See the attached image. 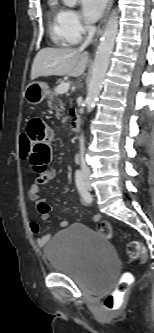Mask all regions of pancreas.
<instances>
[{"mask_svg":"<svg viewBox=\"0 0 154 333\" xmlns=\"http://www.w3.org/2000/svg\"><path fill=\"white\" fill-rule=\"evenodd\" d=\"M56 95H57V93H56L55 89L48 91V107L51 108V109L55 108L56 111H57V116H59V112L62 111V110H60L59 108H57L55 106V104H54V102H55V96ZM58 102H59L60 108H63L62 101L59 99Z\"/></svg>","mask_w":154,"mask_h":333,"instance_id":"pancreas-1","label":"pancreas"}]
</instances>
